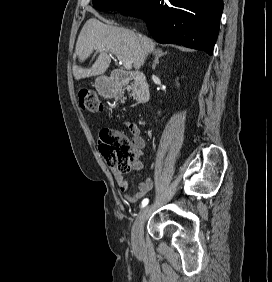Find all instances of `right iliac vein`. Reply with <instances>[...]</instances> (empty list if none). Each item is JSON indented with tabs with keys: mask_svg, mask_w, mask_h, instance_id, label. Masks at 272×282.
Returning <instances> with one entry per match:
<instances>
[{
	"mask_svg": "<svg viewBox=\"0 0 272 282\" xmlns=\"http://www.w3.org/2000/svg\"><path fill=\"white\" fill-rule=\"evenodd\" d=\"M149 209H150V206L148 205L140 211V213L138 214L136 218L134 226L132 228L131 239H132V244L134 247H138L141 243L142 235H143V227H144V223L147 218Z\"/></svg>",
	"mask_w": 272,
	"mask_h": 282,
	"instance_id": "right-iliac-vein-1",
	"label": "right iliac vein"
}]
</instances>
